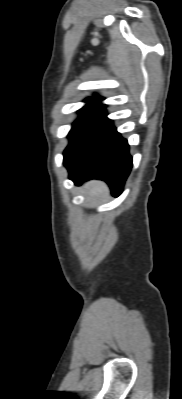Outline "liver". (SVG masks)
Returning <instances> with one entry per match:
<instances>
[{"label":"liver","instance_id":"obj_1","mask_svg":"<svg viewBox=\"0 0 182 399\" xmlns=\"http://www.w3.org/2000/svg\"><path fill=\"white\" fill-rule=\"evenodd\" d=\"M88 193L94 196H100L107 193V187L102 183H92L88 185Z\"/></svg>","mask_w":182,"mask_h":399}]
</instances>
